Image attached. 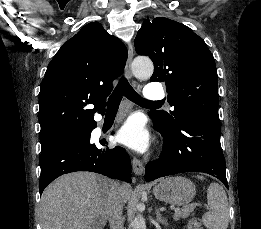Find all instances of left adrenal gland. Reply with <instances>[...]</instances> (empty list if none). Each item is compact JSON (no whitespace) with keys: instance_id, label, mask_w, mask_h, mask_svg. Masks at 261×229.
I'll return each mask as SVG.
<instances>
[{"instance_id":"1","label":"left adrenal gland","mask_w":261,"mask_h":229,"mask_svg":"<svg viewBox=\"0 0 261 229\" xmlns=\"http://www.w3.org/2000/svg\"><path fill=\"white\" fill-rule=\"evenodd\" d=\"M156 221L157 223H161V225H166V227H168V223H167V219H165V217H162V215H160V211H158V209H156Z\"/></svg>"}]
</instances>
